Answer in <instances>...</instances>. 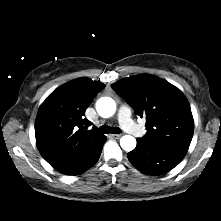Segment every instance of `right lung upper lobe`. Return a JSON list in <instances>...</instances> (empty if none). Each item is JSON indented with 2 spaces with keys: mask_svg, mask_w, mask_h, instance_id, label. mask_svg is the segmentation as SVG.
<instances>
[{
  "mask_svg": "<svg viewBox=\"0 0 221 221\" xmlns=\"http://www.w3.org/2000/svg\"><path fill=\"white\" fill-rule=\"evenodd\" d=\"M103 83L81 77L63 84L43 102L35 121L37 147L57 171L71 175L93 159L106 137L86 119L85 111Z\"/></svg>",
  "mask_w": 221,
  "mask_h": 221,
  "instance_id": "obj_1",
  "label": "right lung upper lobe"
}]
</instances>
